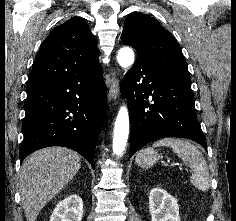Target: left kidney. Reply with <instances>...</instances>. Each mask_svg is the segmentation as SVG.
<instances>
[{"label":"left kidney","mask_w":236,"mask_h":221,"mask_svg":"<svg viewBox=\"0 0 236 221\" xmlns=\"http://www.w3.org/2000/svg\"><path fill=\"white\" fill-rule=\"evenodd\" d=\"M149 211L152 221H181L177 199L160 187L150 190Z\"/></svg>","instance_id":"left-kidney-1"}]
</instances>
